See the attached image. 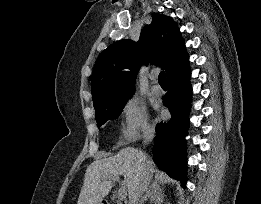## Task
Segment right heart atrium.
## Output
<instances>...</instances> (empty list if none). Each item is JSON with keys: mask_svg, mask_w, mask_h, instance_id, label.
I'll return each mask as SVG.
<instances>
[{"mask_svg": "<svg viewBox=\"0 0 261 204\" xmlns=\"http://www.w3.org/2000/svg\"><path fill=\"white\" fill-rule=\"evenodd\" d=\"M122 137L127 143H133L153 131L145 104L138 98L128 99L121 109Z\"/></svg>", "mask_w": 261, "mask_h": 204, "instance_id": "right-heart-atrium-1", "label": "right heart atrium"}]
</instances>
